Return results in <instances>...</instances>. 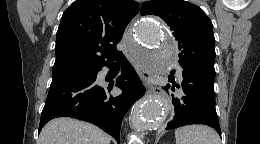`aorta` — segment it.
I'll use <instances>...</instances> for the list:
<instances>
[{"label":"aorta","mask_w":260,"mask_h":144,"mask_svg":"<svg viewBox=\"0 0 260 144\" xmlns=\"http://www.w3.org/2000/svg\"><path fill=\"white\" fill-rule=\"evenodd\" d=\"M135 33L140 46L133 50L138 60L146 67L166 69L167 61L175 50L173 38L162 31L156 19L150 17H144L137 23ZM167 108L168 103L159 98L146 97L138 101L132 109V127L143 132L162 126Z\"/></svg>","instance_id":"762f6f07"}]
</instances>
